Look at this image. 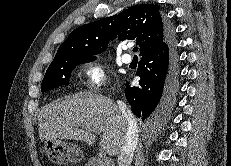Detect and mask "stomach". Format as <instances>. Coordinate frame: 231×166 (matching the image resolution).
<instances>
[{"label": "stomach", "instance_id": "0dacf381", "mask_svg": "<svg viewBox=\"0 0 231 166\" xmlns=\"http://www.w3.org/2000/svg\"><path fill=\"white\" fill-rule=\"evenodd\" d=\"M45 149L51 160L59 165L78 163L83 159V151L80 147L61 139L46 141Z\"/></svg>", "mask_w": 231, "mask_h": 166}]
</instances>
